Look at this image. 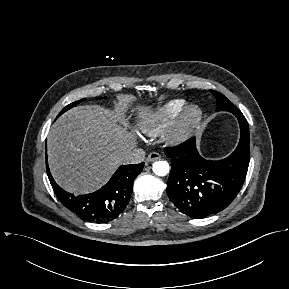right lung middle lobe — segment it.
Returning <instances> with one entry per match:
<instances>
[{"mask_svg":"<svg viewBox=\"0 0 289 289\" xmlns=\"http://www.w3.org/2000/svg\"><path fill=\"white\" fill-rule=\"evenodd\" d=\"M83 100H84V99H81V100H79V101H76V102H73V103L67 105V106L59 113V115L57 116V118H58L61 114H63L65 111H67V110H69L70 108L74 107L75 105L79 104V103L82 102Z\"/></svg>","mask_w":289,"mask_h":289,"instance_id":"obj_1","label":"right lung middle lobe"}]
</instances>
